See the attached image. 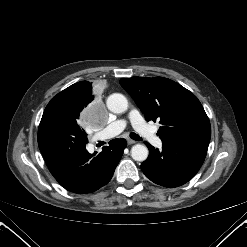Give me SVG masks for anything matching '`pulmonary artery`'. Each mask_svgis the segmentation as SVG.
<instances>
[{
  "label": "pulmonary artery",
  "instance_id": "pulmonary-artery-1",
  "mask_svg": "<svg viewBox=\"0 0 247 247\" xmlns=\"http://www.w3.org/2000/svg\"><path fill=\"white\" fill-rule=\"evenodd\" d=\"M128 121L144 139L156 147L162 146V141L157 136L156 131L144 121L137 109H132L127 118L117 119L110 123L98 134V137L100 139H110L117 136L126 128Z\"/></svg>",
  "mask_w": 247,
  "mask_h": 247
}]
</instances>
